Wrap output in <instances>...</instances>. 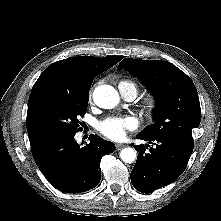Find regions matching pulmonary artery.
Segmentation results:
<instances>
[{
    "label": "pulmonary artery",
    "instance_id": "pulmonary-artery-1",
    "mask_svg": "<svg viewBox=\"0 0 221 221\" xmlns=\"http://www.w3.org/2000/svg\"><path fill=\"white\" fill-rule=\"evenodd\" d=\"M120 92H121L122 96H123L126 100H129V101L133 100V99L136 97V94H135L133 91H127V92H125V91H121V90H120Z\"/></svg>",
    "mask_w": 221,
    "mask_h": 221
}]
</instances>
